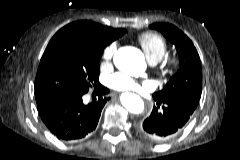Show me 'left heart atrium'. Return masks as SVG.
<instances>
[{"instance_id":"1","label":"left heart atrium","mask_w":240,"mask_h":160,"mask_svg":"<svg viewBox=\"0 0 240 160\" xmlns=\"http://www.w3.org/2000/svg\"><path fill=\"white\" fill-rule=\"evenodd\" d=\"M109 85L118 91H129L138 89L140 83L126 75L116 74L109 79ZM146 85L147 83H144V86Z\"/></svg>"}]
</instances>
